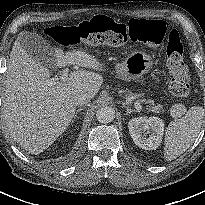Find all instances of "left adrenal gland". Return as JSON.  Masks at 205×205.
<instances>
[{
  "mask_svg": "<svg viewBox=\"0 0 205 205\" xmlns=\"http://www.w3.org/2000/svg\"><path fill=\"white\" fill-rule=\"evenodd\" d=\"M125 109H126V115L131 114L132 112H139L138 110H133L131 108H129L126 104H123Z\"/></svg>",
  "mask_w": 205,
  "mask_h": 205,
  "instance_id": "left-adrenal-gland-1",
  "label": "left adrenal gland"
}]
</instances>
